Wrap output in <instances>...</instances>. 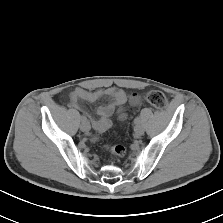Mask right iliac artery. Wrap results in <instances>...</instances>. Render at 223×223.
<instances>
[{"label":"right iliac artery","mask_w":223,"mask_h":223,"mask_svg":"<svg viewBox=\"0 0 223 223\" xmlns=\"http://www.w3.org/2000/svg\"><path fill=\"white\" fill-rule=\"evenodd\" d=\"M81 120H82V121H84V120H85V118H84V117H82V118H81Z\"/></svg>","instance_id":"82829eb1"}]
</instances>
